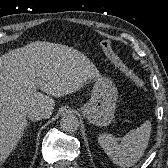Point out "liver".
I'll list each match as a JSON object with an SVG mask.
<instances>
[{"label": "liver", "mask_w": 168, "mask_h": 168, "mask_svg": "<svg viewBox=\"0 0 168 168\" xmlns=\"http://www.w3.org/2000/svg\"><path fill=\"white\" fill-rule=\"evenodd\" d=\"M98 77L90 60L66 45L37 41L0 56V164L21 139L31 109L49 118L53 97L76 92Z\"/></svg>", "instance_id": "obj_1"}]
</instances>
